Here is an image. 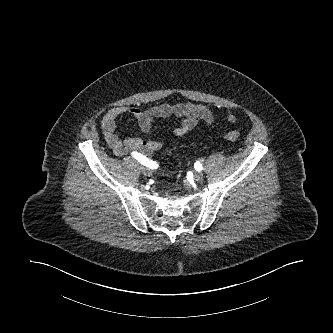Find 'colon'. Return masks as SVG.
<instances>
[{
  "label": "colon",
  "mask_w": 333,
  "mask_h": 333,
  "mask_svg": "<svg viewBox=\"0 0 333 333\" xmlns=\"http://www.w3.org/2000/svg\"><path fill=\"white\" fill-rule=\"evenodd\" d=\"M224 137L229 141H237L240 138V134L235 130H229L224 133Z\"/></svg>",
  "instance_id": "5ec220e1"
}]
</instances>
